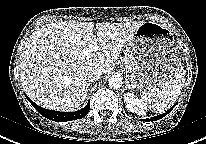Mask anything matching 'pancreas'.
Masks as SVG:
<instances>
[{
  "label": "pancreas",
  "mask_w": 206,
  "mask_h": 144,
  "mask_svg": "<svg viewBox=\"0 0 206 144\" xmlns=\"http://www.w3.org/2000/svg\"><path fill=\"white\" fill-rule=\"evenodd\" d=\"M126 67H127V72H128V73H131L132 68H131V63H130L129 58H128V61H127V63H126Z\"/></svg>",
  "instance_id": "obj_1"
}]
</instances>
